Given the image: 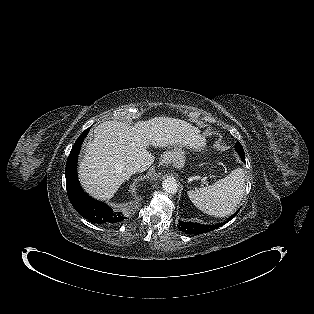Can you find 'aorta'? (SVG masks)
Segmentation results:
<instances>
[{"label":"aorta","mask_w":314,"mask_h":314,"mask_svg":"<svg viewBox=\"0 0 314 314\" xmlns=\"http://www.w3.org/2000/svg\"><path fill=\"white\" fill-rule=\"evenodd\" d=\"M162 188L166 193L176 194L178 190V185L173 177H167L162 182Z\"/></svg>","instance_id":"aorta-1"}]
</instances>
